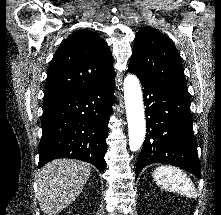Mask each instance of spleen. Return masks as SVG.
<instances>
[{
  "instance_id": "3e777b00",
  "label": "spleen",
  "mask_w": 221,
  "mask_h": 215,
  "mask_svg": "<svg viewBox=\"0 0 221 215\" xmlns=\"http://www.w3.org/2000/svg\"><path fill=\"white\" fill-rule=\"evenodd\" d=\"M156 184L172 192L188 198L197 197V191L192 180L181 169L172 166H160L153 172Z\"/></svg>"
}]
</instances>
